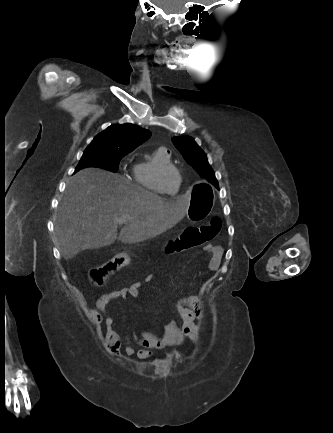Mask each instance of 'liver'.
<instances>
[{
	"mask_svg": "<svg viewBox=\"0 0 333 433\" xmlns=\"http://www.w3.org/2000/svg\"><path fill=\"white\" fill-rule=\"evenodd\" d=\"M188 207V201L166 202L118 174L85 168L67 183L55 233L62 256L70 259L83 250L111 245L118 227L124 244L160 235L182 220ZM122 214L129 218L119 223Z\"/></svg>",
	"mask_w": 333,
	"mask_h": 433,
	"instance_id": "obj_1",
	"label": "liver"
}]
</instances>
